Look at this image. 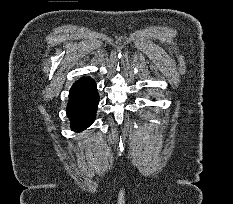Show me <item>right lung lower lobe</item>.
Segmentation results:
<instances>
[{
	"instance_id": "1",
	"label": "right lung lower lobe",
	"mask_w": 233,
	"mask_h": 204,
	"mask_svg": "<svg viewBox=\"0 0 233 204\" xmlns=\"http://www.w3.org/2000/svg\"><path fill=\"white\" fill-rule=\"evenodd\" d=\"M98 103L96 84L91 78L83 77L72 86L67 115L75 131H82L93 123Z\"/></svg>"
}]
</instances>
